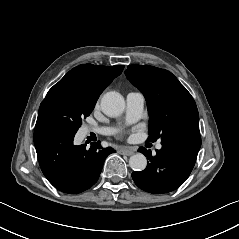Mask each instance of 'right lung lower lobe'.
Segmentation results:
<instances>
[{
    "label": "right lung lower lobe",
    "instance_id": "obj_1",
    "mask_svg": "<svg viewBox=\"0 0 239 239\" xmlns=\"http://www.w3.org/2000/svg\"><path fill=\"white\" fill-rule=\"evenodd\" d=\"M71 129L58 124L37 125L34 144L41 170L59 191L78 194L93 186L102 171L105 158L116 151L100 143L74 145Z\"/></svg>",
    "mask_w": 239,
    "mask_h": 239
}]
</instances>
